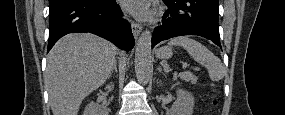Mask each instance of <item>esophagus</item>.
<instances>
[{"mask_svg": "<svg viewBox=\"0 0 285 115\" xmlns=\"http://www.w3.org/2000/svg\"><path fill=\"white\" fill-rule=\"evenodd\" d=\"M131 28H132V33L134 35V38L138 39V37L142 31V26L140 24H138L137 22L132 21L131 22Z\"/></svg>", "mask_w": 285, "mask_h": 115, "instance_id": "obj_1", "label": "esophagus"}]
</instances>
